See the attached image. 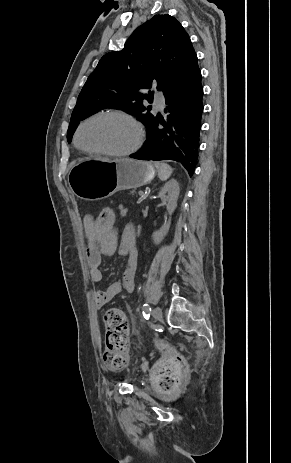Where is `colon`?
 Returning <instances> with one entry per match:
<instances>
[{"instance_id": "colon-1", "label": "colon", "mask_w": 291, "mask_h": 463, "mask_svg": "<svg viewBox=\"0 0 291 463\" xmlns=\"http://www.w3.org/2000/svg\"><path fill=\"white\" fill-rule=\"evenodd\" d=\"M118 212L112 207H103L96 212L98 230L105 231L107 226H115ZM105 350L103 361L109 370H120L124 368L129 360L128 354V324L125 315L119 309H110L104 316ZM168 344L160 342L159 346L164 348ZM186 371L178 359L170 360L158 367L160 375L159 386L170 388L178 380L182 379Z\"/></svg>"}]
</instances>
